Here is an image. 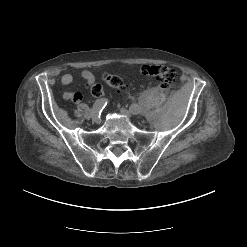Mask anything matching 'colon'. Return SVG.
Returning <instances> with one entry per match:
<instances>
[{
  "mask_svg": "<svg viewBox=\"0 0 247 247\" xmlns=\"http://www.w3.org/2000/svg\"><path fill=\"white\" fill-rule=\"evenodd\" d=\"M139 71L142 75L154 79L163 89H169L177 80L175 70L164 65H143ZM103 79L118 92H124L128 88L124 81L116 75L105 73ZM91 93L94 96H100L103 93L102 85L99 83L94 84L91 87Z\"/></svg>",
  "mask_w": 247,
  "mask_h": 247,
  "instance_id": "1",
  "label": "colon"
}]
</instances>
